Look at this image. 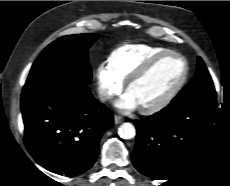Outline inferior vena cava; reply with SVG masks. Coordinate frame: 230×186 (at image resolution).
Instances as JSON below:
<instances>
[{"label":"inferior vena cava","mask_w":230,"mask_h":186,"mask_svg":"<svg viewBox=\"0 0 230 186\" xmlns=\"http://www.w3.org/2000/svg\"><path fill=\"white\" fill-rule=\"evenodd\" d=\"M112 96L107 92L103 91L99 93V98L101 101H106L107 99H110Z\"/></svg>","instance_id":"obj_1"}]
</instances>
